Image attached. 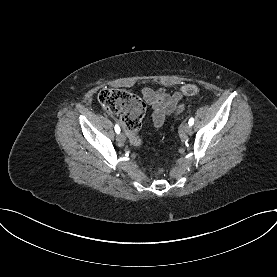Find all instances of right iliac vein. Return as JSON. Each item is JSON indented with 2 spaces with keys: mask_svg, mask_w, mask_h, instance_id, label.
<instances>
[{
  "mask_svg": "<svg viewBox=\"0 0 277 277\" xmlns=\"http://www.w3.org/2000/svg\"><path fill=\"white\" fill-rule=\"evenodd\" d=\"M117 141L120 143H124L126 141V136L124 135V133H119L117 135Z\"/></svg>",
  "mask_w": 277,
  "mask_h": 277,
  "instance_id": "63e3f726",
  "label": "right iliac vein"
}]
</instances>
